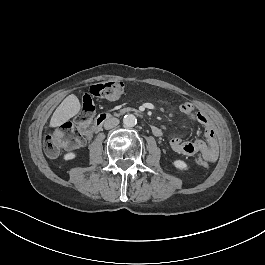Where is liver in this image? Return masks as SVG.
<instances>
[{"instance_id": "1", "label": "liver", "mask_w": 265, "mask_h": 265, "mask_svg": "<svg viewBox=\"0 0 265 265\" xmlns=\"http://www.w3.org/2000/svg\"><path fill=\"white\" fill-rule=\"evenodd\" d=\"M81 110V103L75 94L68 95L55 109L49 121V128L60 127L71 118L75 117Z\"/></svg>"}]
</instances>
